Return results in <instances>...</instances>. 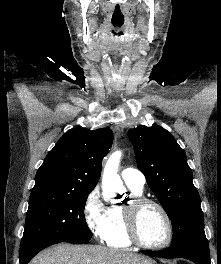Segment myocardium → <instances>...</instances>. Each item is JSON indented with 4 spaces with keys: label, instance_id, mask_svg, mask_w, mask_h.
<instances>
[{
    "label": "myocardium",
    "instance_id": "myocardium-1",
    "mask_svg": "<svg viewBox=\"0 0 221 264\" xmlns=\"http://www.w3.org/2000/svg\"><path fill=\"white\" fill-rule=\"evenodd\" d=\"M147 205H152L156 207L161 212V214L163 215L166 221L168 234L166 240L161 244H157V245L148 244L144 242L139 235V231H138L139 214L142 208ZM123 216H124L126 234L129 240L133 244L145 249L161 250L169 246L170 243L172 242L174 236L173 223L169 213L164 208V206L159 202L144 196H133L130 199V201L123 206Z\"/></svg>",
    "mask_w": 221,
    "mask_h": 264
}]
</instances>
